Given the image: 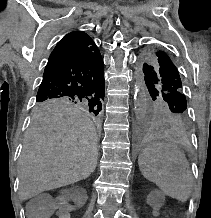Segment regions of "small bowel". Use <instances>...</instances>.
<instances>
[{
  "label": "small bowel",
  "instance_id": "1",
  "mask_svg": "<svg viewBox=\"0 0 211 218\" xmlns=\"http://www.w3.org/2000/svg\"><path fill=\"white\" fill-rule=\"evenodd\" d=\"M55 215L57 218H69V212L64 207L59 208Z\"/></svg>",
  "mask_w": 211,
  "mask_h": 218
}]
</instances>
